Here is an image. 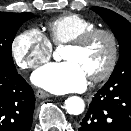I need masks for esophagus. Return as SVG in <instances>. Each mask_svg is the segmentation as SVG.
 Returning <instances> with one entry per match:
<instances>
[{
    "label": "esophagus",
    "mask_w": 131,
    "mask_h": 131,
    "mask_svg": "<svg viewBox=\"0 0 131 131\" xmlns=\"http://www.w3.org/2000/svg\"><path fill=\"white\" fill-rule=\"evenodd\" d=\"M36 96L38 98H47V97H50L51 95L43 90H37L36 91Z\"/></svg>",
    "instance_id": "34e87169"
}]
</instances>
